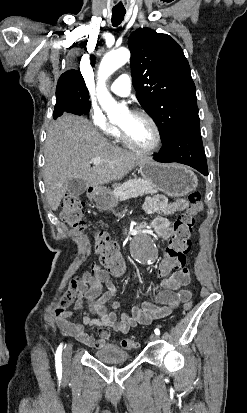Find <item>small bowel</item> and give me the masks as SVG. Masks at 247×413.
I'll list each match as a JSON object with an SVG mask.
<instances>
[{"instance_id":"c3829d8e","label":"small bowel","mask_w":247,"mask_h":413,"mask_svg":"<svg viewBox=\"0 0 247 413\" xmlns=\"http://www.w3.org/2000/svg\"><path fill=\"white\" fill-rule=\"evenodd\" d=\"M144 207L149 214L150 225L157 234L169 237L173 230L166 216L187 210L189 204L183 199L168 202L166 196L157 194L148 197ZM111 274L107 266L105 268L97 263L90 264L70 281L62 307L56 313V324L61 331L89 347L111 349L114 342L110 340V332L106 328L127 333L132 327L148 325L153 320L170 315L180 303L190 300L192 296L191 291L184 288L190 282L189 270L181 267L178 271H173L172 277H157L162 288L156 294L157 303L144 302L141 307H133L130 313L123 312L118 318L114 311L106 307L107 303H111L112 309L121 308L120 301H112L116 286ZM69 305L83 313L82 322L70 320L72 313L66 310ZM93 325L105 327L100 329L98 337L90 335L86 330V327Z\"/></svg>"}]
</instances>
